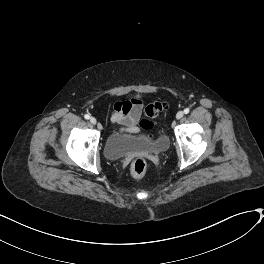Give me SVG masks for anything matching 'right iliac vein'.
<instances>
[{
	"label": "right iliac vein",
	"instance_id": "obj_1",
	"mask_svg": "<svg viewBox=\"0 0 264 264\" xmlns=\"http://www.w3.org/2000/svg\"><path fill=\"white\" fill-rule=\"evenodd\" d=\"M90 122L95 125L97 123V120L94 117H91Z\"/></svg>",
	"mask_w": 264,
	"mask_h": 264
}]
</instances>
